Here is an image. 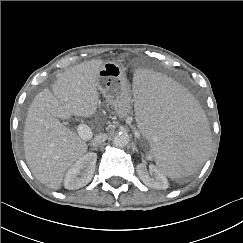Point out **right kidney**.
<instances>
[{
  "label": "right kidney",
  "instance_id": "ca27d5eb",
  "mask_svg": "<svg viewBox=\"0 0 243 243\" xmlns=\"http://www.w3.org/2000/svg\"><path fill=\"white\" fill-rule=\"evenodd\" d=\"M96 161V153H87L80 157L66 173L64 178L65 188L68 190H74L88 184L92 180Z\"/></svg>",
  "mask_w": 243,
  "mask_h": 243
}]
</instances>
